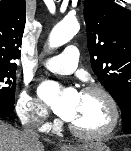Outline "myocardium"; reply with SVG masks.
<instances>
[{"label":"myocardium","mask_w":131,"mask_h":151,"mask_svg":"<svg viewBox=\"0 0 131 151\" xmlns=\"http://www.w3.org/2000/svg\"><path fill=\"white\" fill-rule=\"evenodd\" d=\"M81 94L100 95L108 104L110 110V122L104 129L99 131H83L69 123L68 128L70 132L73 135L86 140H97L109 136L118 126L120 119V110L117 101L107 89L99 85L87 86L82 90Z\"/></svg>","instance_id":"myocardium-1"}]
</instances>
